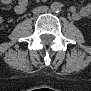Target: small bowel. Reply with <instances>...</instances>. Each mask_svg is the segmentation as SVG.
I'll return each mask as SVG.
<instances>
[{
    "label": "small bowel",
    "instance_id": "small-bowel-1",
    "mask_svg": "<svg viewBox=\"0 0 91 91\" xmlns=\"http://www.w3.org/2000/svg\"><path fill=\"white\" fill-rule=\"evenodd\" d=\"M4 3H6V1H4ZM26 8H27V2H26L25 0H20V1L16 4V6H15V11H16V13H18V14H22V13L25 12ZM73 14H74L75 16H78L79 10L74 9V10H73Z\"/></svg>",
    "mask_w": 91,
    "mask_h": 91
}]
</instances>
